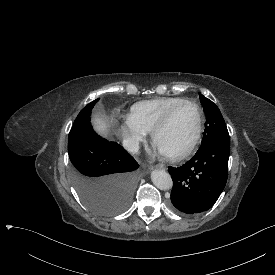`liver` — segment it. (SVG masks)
Here are the masks:
<instances>
[{"label": "liver", "instance_id": "obj_1", "mask_svg": "<svg viewBox=\"0 0 275 275\" xmlns=\"http://www.w3.org/2000/svg\"><path fill=\"white\" fill-rule=\"evenodd\" d=\"M91 124L94 131L101 137L107 138L110 132V125L108 124L105 114H94L91 118Z\"/></svg>", "mask_w": 275, "mask_h": 275}]
</instances>
